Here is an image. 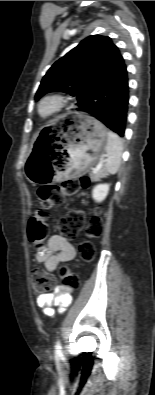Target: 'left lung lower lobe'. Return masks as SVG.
<instances>
[{
  "mask_svg": "<svg viewBox=\"0 0 155 395\" xmlns=\"http://www.w3.org/2000/svg\"><path fill=\"white\" fill-rule=\"evenodd\" d=\"M128 105V72L122 60L106 73L100 84L82 102L80 111L89 113L123 137Z\"/></svg>",
  "mask_w": 155,
  "mask_h": 395,
  "instance_id": "1",
  "label": "left lung lower lobe"
}]
</instances>
